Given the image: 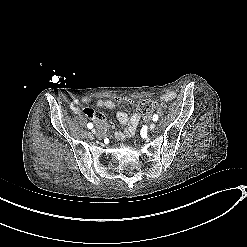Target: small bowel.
I'll list each match as a JSON object with an SVG mask.
<instances>
[{
	"instance_id": "small-bowel-1",
	"label": "small bowel",
	"mask_w": 247,
	"mask_h": 247,
	"mask_svg": "<svg viewBox=\"0 0 247 247\" xmlns=\"http://www.w3.org/2000/svg\"><path fill=\"white\" fill-rule=\"evenodd\" d=\"M176 94L174 92H167L163 94L160 99L162 101H171L175 98ZM92 99L90 97H85L82 99H75L71 104V111L73 114H84L85 116L96 119L97 122L102 123L106 119V115L104 112H91V109H81L80 105L82 103H87L91 101ZM122 102H131L130 98L127 97H121L117 96L113 99H98L96 100V105L99 108H105V109H115L120 103ZM96 113V115H95ZM118 122L122 125L123 131H118L115 133V137L117 140H124L125 138L132 137L139 126L141 116L138 113H133L130 117L128 114L124 111H119L116 115ZM144 120L149 121L150 115L144 116Z\"/></svg>"
}]
</instances>
